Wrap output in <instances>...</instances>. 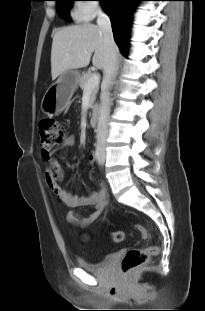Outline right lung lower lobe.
I'll return each mask as SVG.
<instances>
[{"label": "right lung lower lobe", "mask_w": 205, "mask_h": 311, "mask_svg": "<svg viewBox=\"0 0 205 311\" xmlns=\"http://www.w3.org/2000/svg\"><path fill=\"white\" fill-rule=\"evenodd\" d=\"M106 13L109 15L116 43L126 56L130 35L132 14L136 3L141 0H101Z\"/></svg>", "instance_id": "98d812e1"}]
</instances>
